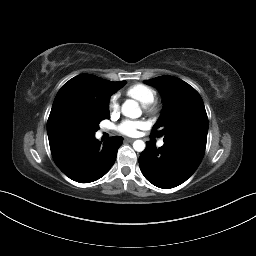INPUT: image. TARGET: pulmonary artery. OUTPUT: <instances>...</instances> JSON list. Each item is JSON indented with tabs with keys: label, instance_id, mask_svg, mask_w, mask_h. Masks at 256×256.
Here are the masks:
<instances>
[{
	"label": "pulmonary artery",
	"instance_id": "pulmonary-artery-1",
	"mask_svg": "<svg viewBox=\"0 0 256 256\" xmlns=\"http://www.w3.org/2000/svg\"><path fill=\"white\" fill-rule=\"evenodd\" d=\"M164 145V141L163 140H160L159 142H158V146L159 147H162Z\"/></svg>",
	"mask_w": 256,
	"mask_h": 256
}]
</instances>
